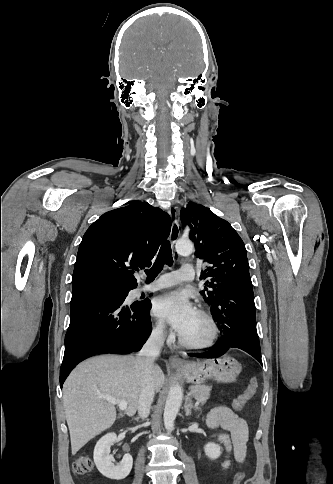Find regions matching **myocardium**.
<instances>
[{
	"label": "myocardium",
	"mask_w": 333,
	"mask_h": 484,
	"mask_svg": "<svg viewBox=\"0 0 333 484\" xmlns=\"http://www.w3.org/2000/svg\"><path fill=\"white\" fill-rule=\"evenodd\" d=\"M197 313L202 316L208 323L209 328H210V334L208 338L200 343H193L189 342L186 339H184L181 334L179 335V342L180 344L190 350H206L209 349L216 341L218 335H219V328L217 325V322L215 318L206 310L204 309H198Z\"/></svg>",
	"instance_id": "1"
}]
</instances>
